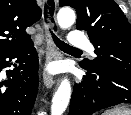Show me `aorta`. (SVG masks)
<instances>
[{
	"label": "aorta",
	"instance_id": "1",
	"mask_svg": "<svg viewBox=\"0 0 131 115\" xmlns=\"http://www.w3.org/2000/svg\"><path fill=\"white\" fill-rule=\"evenodd\" d=\"M61 28L66 29L75 22V13L71 8H61L57 14ZM71 96V85L67 78L62 80L52 99L51 115H62L66 110Z\"/></svg>",
	"mask_w": 131,
	"mask_h": 115
}]
</instances>
